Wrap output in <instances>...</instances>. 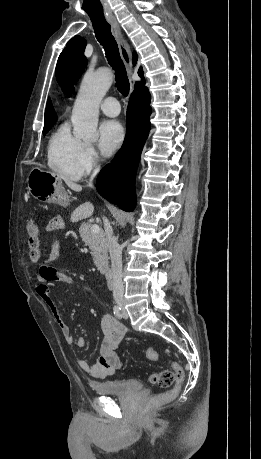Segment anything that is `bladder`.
<instances>
[{
  "label": "bladder",
  "mask_w": 261,
  "mask_h": 459,
  "mask_svg": "<svg viewBox=\"0 0 261 459\" xmlns=\"http://www.w3.org/2000/svg\"><path fill=\"white\" fill-rule=\"evenodd\" d=\"M142 387V383L137 379H114L91 383L93 391L100 395L126 396L139 392Z\"/></svg>",
  "instance_id": "1"
}]
</instances>
